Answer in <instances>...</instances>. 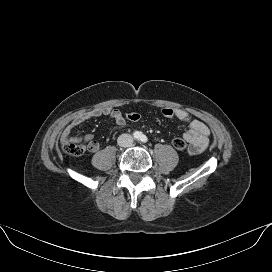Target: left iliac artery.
Here are the masks:
<instances>
[{"label":"left iliac artery","instance_id":"obj_1","mask_svg":"<svg viewBox=\"0 0 272 272\" xmlns=\"http://www.w3.org/2000/svg\"><path fill=\"white\" fill-rule=\"evenodd\" d=\"M140 140L144 143H146L148 141L147 137L143 134L140 136Z\"/></svg>","mask_w":272,"mask_h":272}]
</instances>
